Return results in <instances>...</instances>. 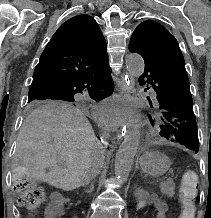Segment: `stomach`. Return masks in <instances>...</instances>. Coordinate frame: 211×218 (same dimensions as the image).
Instances as JSON below:
<instances>
[{
  "instance_id": "1",
  "label": "stomach",
  "mask_w": 211,
  "mask_h": 218,
  "mask_svg": "<svg viewBox=\"0 0 211 218\" xmlns=\"http://www.w3.org/2000/svg\"><path fill=\"white\" fill-rule=\"evenodd\" d=\"M140 168L144 173L158 177L170 168V160L160 152H146L140 159Z\"/></svg>"
}]
</instances>
